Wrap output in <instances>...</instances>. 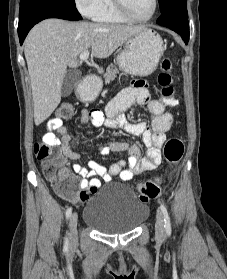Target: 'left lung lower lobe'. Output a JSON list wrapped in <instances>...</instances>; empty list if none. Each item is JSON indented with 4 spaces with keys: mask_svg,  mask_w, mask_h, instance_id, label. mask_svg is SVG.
<instances>
[{
    "mask_svg": "<svg viewBox=\"0 0 227 279\" xmlns=\"http://www.w3.org/2000/svg\"><path fill=\"white\" fill-rule=\"evenodd\" d=\"M157 24L168 27L181 35L184 42L189 41V22L187 7H173L162 13Z\"/></svg>",
    "mask_w": 227,
    "mask_h": 279,
    "instance_id": "1",
    "label": "left lung lower lobe"
}]
</instances>
